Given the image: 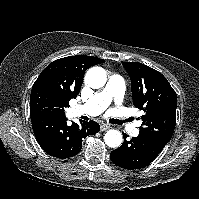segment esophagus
<instances>
[{
    "label": "esophagus",
    "instance_id": "obj_1",
    "mask_svg": "<svg viewBox=\"0 0 199 199\" xmlns=\"http://www.w3.org/2000/svg\"><path fill=\"white\" fill-rule=\"evenodd\" d=\"M110 127H111V126H110L109 124L103 123V124H101V126H100V130H101V131H106V130H108Z\"/></svg>",
    "mask_w": 199,
    "mask_h": 199
}]
</instances>
